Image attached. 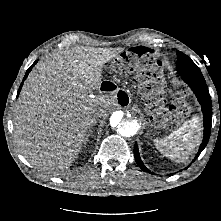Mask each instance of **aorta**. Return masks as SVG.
Masks as SVG:
<instances>
[{
  "mask_svg": "<svg viewBox=\"0 0 221 221\" xmlns=\"http://www.w3.org/2000/svg\"><path fill=\"white\" fill-rule=\"evenodd\" d=\"M113 131L121 137L134 136L140 129V122L134 113L114 112L110 118Z\"/></svg>",
  "mask_w": 221,
  "mask_h": 221,
  "instance_id": "aorta-1",
  "label": "aorta"
}]
</instances>
